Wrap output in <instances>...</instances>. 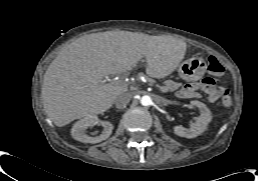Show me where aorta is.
<instances>
[{
  "mask_svg": "<svg viewBox=\"0 0 258 181\" xmlns=\"http://www.w3.org/2000/svg\"><path fill=\"white\" fill-rule=\"evenodd\" d=\"M140 103L143 105V106H148L152 103V99L150 96L148 95H144L141 97L140 99Z\"/></svg>",
  "mask_w": 258,
  "mask_h": 181,
  "instance_id": "1",
  "label": "aorta"
}]
</instances>
